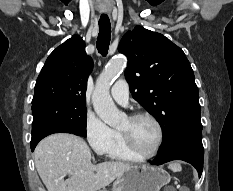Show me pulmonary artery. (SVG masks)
Here are the masks:
<instances>
[{
    "mask_svg": "<svg viewBox=\"0 0 233 191\" xmlns=\"http://www.w3.org/2000/svg\"><path fill=\"white\" fill-rule=\"evenodd\" d=\"M111 96L120 105H126L129 99V87L126 80H118L111 89Z\"/></svg>",
    "mask_w": 233,
    "mask_h": 191,
    "instance_id": "1",
    "label": "pulmonary artery"
}]
</instances>
